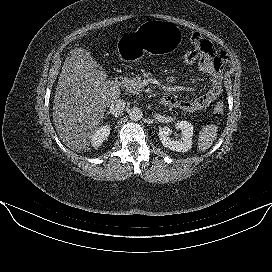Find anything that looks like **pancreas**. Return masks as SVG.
Returning <instances> with one entry per match:
<instances>
[{"label":"pancreas","instance_id":"pancreas-1","mask_svg":"<svg viewBox=\"0 0 272 272\" xmlns=\"http://www.w3.org/2000/svg\"><path fill=\"white\" fill-rule=\"evenodd\" d=\"M124 88L127 92L132 94H139L143 90V86L141 84V77L136 76L132 78H127L124 82Z\"/></svg>","mask_w":272,"mask_h":272}]
</instances>
